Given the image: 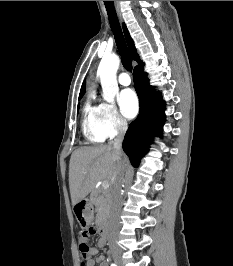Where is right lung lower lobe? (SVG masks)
Instances as JSON below:
<instances>
[{"mask_svg":"<svg viewBox=\"0 0 233 266\" xmlns=\"http://www.w3.org/2000/svg\"><path fill=\"white\" fill-rule=\"evenodd\" d=\"M144 64L134 68V86L139 97L140 114L126 132L123 150L128 155L131 164L138 167L141 158L148 152L153 138L162 131L165 122V102L161 96H155L153 87L149 85Z\"/></svg>","mask_w":233,"mask_h":266,"instance_id":"1","label":"right lung lower lobe"}]
</instances>
